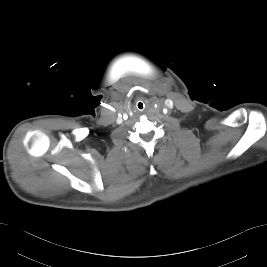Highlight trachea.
<instances>
[{"instance_id":"1","label":"trachea","mask_w":267,"mask_h":267,"mask_svg":"<svg viewBox=\"0 0 267 267\" xmlns=\"http://www.w3.org/2000/svg\"><path fill=\"white\" fill-rule=\"evenodd\" d=\"M138 108L141 110V109H143L144 107H143V103H138Z\"/></svg>"}]
</instances>
